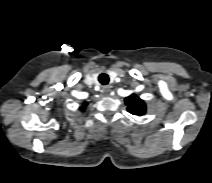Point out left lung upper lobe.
Segmentation results:
<instances>
[{
	"instance_id": "5c2ea615",
	"label": "left lung upper lobe",
	"mask_w": 212,
	"mask_h": 183,
	"mask_svg": "<svg viewBox=\"0 0 212 183\" xmlns=\"http://www.w3.org/2000/svg\"><path fill=\"white\" fill-rule=\"evenodd\" d=\"M125 104L128 105V111L133 115L141 116L146 112V104L135 94L125 98Z\"/></svg>"
}]
</instances>
